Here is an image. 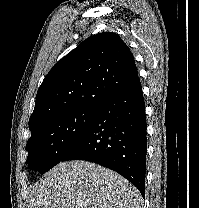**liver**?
I'll list each match as a JSON object with an SVG mask.
<instances>
[{
    "label": "liver",
    "mask_w": 199,
    "mask_h": 208,
    "mask_svg": "<svg viewBox=\"0 0 199 208\" xmlns=\"http://www.w3.org/2000/svg\"><path fill=\"white\" fill-rule=\"evenodd\" d=\"M139 191L118 173L87 161L60 162L36 183L29 208H140Z\"/></svg>",
    "instance_id": "1"
}]
</instances>
